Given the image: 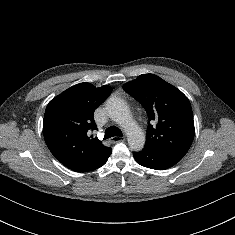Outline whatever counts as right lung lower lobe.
<instances>
[{
    "label": "right lung lower lobe",
    "instance_id": "right-lung-lower-lobe-1",
    "mask_svg": "<svg viewBox=\"0 0 235 235\" xmlns=\"http://www.w3.org/2000/svg\"><path fill=\"white\" fill-rule=\"evenodd\" d=\"M112 150L108 151L89 171L95 170L103 166L106 162L108 157L110 156Z\"/></svg>",
    "mask_w": 235,
    "mask_h": 235
}]
</instances>
